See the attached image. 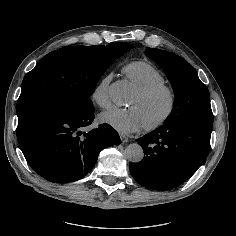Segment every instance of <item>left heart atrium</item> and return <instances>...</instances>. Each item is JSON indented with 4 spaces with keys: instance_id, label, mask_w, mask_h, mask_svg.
I'll return each instance as SVG.
<instances>
[{
    "instance_id": "39dd6f15",
    "label": "left heart atrium",
    "mask_w": 236,
    "mask_h": 236,
    "mask_svg": "<svg viewBox=\"0 0 236 236\" xmlns=\"http://www.w3.org/2000/svg\"><path fill=\"white\" fill-rule=\"evenodd\" d=\"M100 119L122 134L138 131L145 126L139 110L135 107H111L101 114Z\"/></svg>"
}]
</instances>
